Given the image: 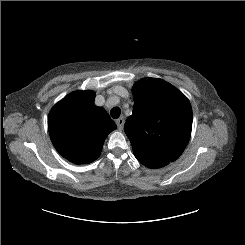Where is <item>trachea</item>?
<instances>
[{
    "label": "trachea",
    "instance_id": "1",
    "mask_svg": "<svg viewBox=\"0 0 245 245\" xmlns=\"http://www.w3.org/2000/svg\"><path fill=\"white\" fill-rule=\"evenodd\" d=\"M112 118L117 119L121 114V109L119 107H113L110 112Z\"/></svg>",
    "mask_w": 245,
    "mask_h": 245
}]
</instances>
